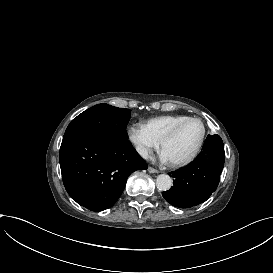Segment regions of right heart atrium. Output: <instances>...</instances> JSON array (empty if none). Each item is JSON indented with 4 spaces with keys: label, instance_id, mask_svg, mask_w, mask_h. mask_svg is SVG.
Segmentation results:
<instances>
[{
    "label": "right heart atrium",
    "instance_id": "d8ad5b80",
    "mask_svg": "<svg viewBox=\"0 0 273 273\" xmlns=\"http://www.w3.org/2000/svg\"><path fill=\"white\" fill-rule=\"evenodd\" d=\"M128 137L133 143L136 152L144 159H148L158 146V142L153 139L145 125L142 124L130 126Z\"/></svg>",
    "mask_w": 273,
    "mask_h": 273
}]
</instances>
